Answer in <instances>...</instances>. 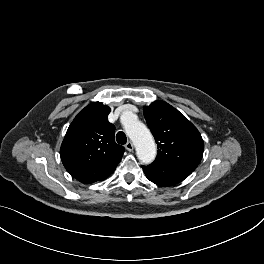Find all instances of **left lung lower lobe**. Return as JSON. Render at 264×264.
I'll use <instances>...</instances> for the list:
<instances>
[{"instance_id":"obj_1","label":"left lung lower lobe","mask_w":264,"mask_h":264,"mask_svg":"<svg viewBox=\"0 0 264 264\" xmlns=\"http://www.w3.org/2000/svg\"><path fill=\"white\" fill-rule=\"evenodd\" d=\"M146 177L160 186H171L186 179L193 171L178 165L154 161L142 166Z\"/></svg>"}]
</instances>
